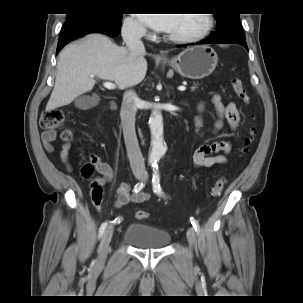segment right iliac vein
Wrapping results in <instances>:
<instances>
[{
  "instance_id": "63e3f726",
  "label": "right iliac vein",
  "mask_w": 303,
  "mask_h": 303,
  "mask_svg": "<svg viewBox=\"0 0 303 303\" xmlns=\"http://www.w3.org/2000/svg\"><path fill=\"white\" fill-rule=\"evenodd\" d=\"M136 177L138 179H140L141 174L136 175ZM113 232H114V225H109L101 239V242H100V245L98 248V262L101 265H103L106 260L108 248H109V244L112 239V236H113Z\"/></svg>"
}]
</instances>
